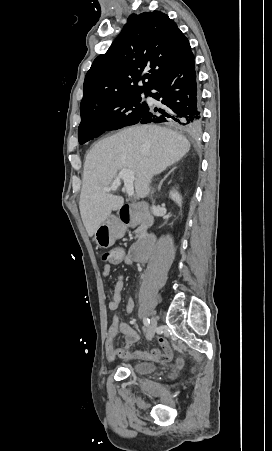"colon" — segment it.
<instances>
[{
	"mask_svg": "<svg viewBox=\"0 0 272 451\" xmlns=\"http://www.w3.org/2000/svg\"><path fill=\"white\" fill-rule=\"evenodd\" d=\"M123 250L122 249H114V250H108L107 252L105 250H101L99 252V255L103 257L104 259L112 258L114 261L112 262V265L114 267H117L119 265V260L123 257ZM163 362L168 361V357L165 355L162 357ZM172 363V362H171Z\"/></svg>",
	"mask_w": 272,
	"mask_h": 451,
	"instance_id": "obj_1",
	"label": "colon"
}]
</instances>
